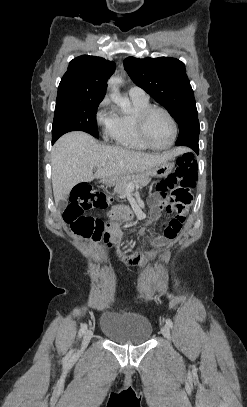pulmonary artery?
<instances>
[{"label": "pulmonary artery", "instance_id": "obj_1", "mask_svg": "<svg viewBox=\"0 0 247 407\" xmlns=\"http://www.w3.org/2000/svg\"><path fill=\"white\" fill-rule=\"evenodd\" d=\"M128 94L131 98H136V99H148L147 93L140 87L138 86H132L128 90Z\"/></svg>", "mask_w": 247, "mask_h": 407}]
</instances>
